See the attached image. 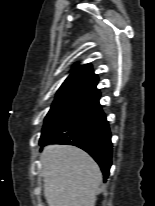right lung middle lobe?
<instances>
[{
	"label": "right lung middle lobe",
	"instance_id": "1",
	"mask_svg": "<svg viewBox=\"0 0 155 206\" xmlns=\"http://www.w3.org/2000/svg\"><path fill=\"white\" fill-rule=\"evenodd\" d=\"M99 99V91L93 89H59L45 118L41 138L50 135L99 106Z\"/></svg>",
	"mask_w": 155,
	"mask_h": 206
}]
</instances>
